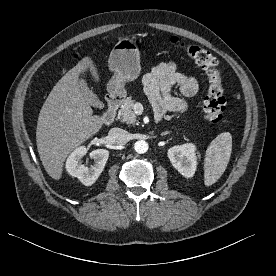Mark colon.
Here are the masks:
<instances>
[{"mask_svg": "<svg viewBox=\"0 0 276 276\" xmlns=\"http://www.w3.org/2000/svg\"><path fill=\"white\" fill-rule=\"evenodd\" d=\"M172 42L178 45L197 65L205 70L209 82L207 94L203 99L205 118L212 124L220 122L226 107V97L222 72L217 59L200 46L181 43L177 38H173Z\"/></svg>", "mask_w": 276, "mask_h": 276, "instance_id": "colon-1", "label": "colon"}]
</instances>
